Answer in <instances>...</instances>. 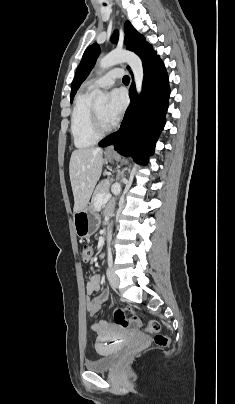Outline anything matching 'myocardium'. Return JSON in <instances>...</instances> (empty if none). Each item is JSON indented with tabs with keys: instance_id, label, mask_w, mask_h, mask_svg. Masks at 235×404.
I'll list each match as a JSON object with an SVG mask.
<instances>
[{
	"instance_id": "obj_1",
	"label": "myocardium",
	"mask_w": 235,
	"mask_h": 404,
	"mask_svg": "<svg viewBox=\"0 0 235 404\" xmlns=\"http://www.w3.org/2000/svg\"><path fill=\"white\" fill-rule=\"evenodd\" d=\"M92 128L97 137H103L112 130V125H105L94 108H91Z\"/></svg>"
}]
</instances>
